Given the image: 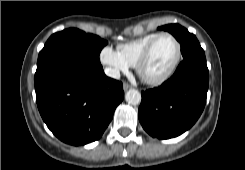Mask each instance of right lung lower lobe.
<instances>
[{"label":"right lung lower lobe","mask_w":245,"mask_h":170,"mask_svg":"<svg viewBox=\"0 0 245 170\" xmlns=\"http://www.w3.org/2000/svg\"><path fill=\"white\" fill-rule=\"evenodd\" d=\"M39 112L61 141L78 146L98 140L124 98L122 83L101 64L68 62L35 80Z\"/></svg>","instance_id":"1"}]
</instances>
